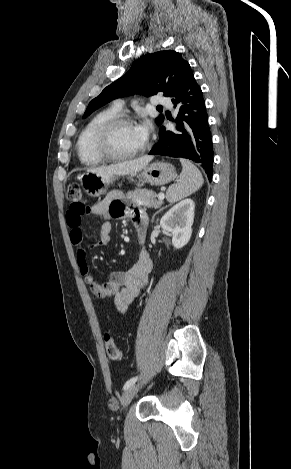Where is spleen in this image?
<instances>
[{
	"instance_id": "3e777b00",
	"label": "spleen",
	"mask_w": 291,
	"mask_h": 469,
	"mask_svg": "<svg viewBox=\"0 0 291 469\" xmlns=\"http://www.w3.org/2000/svg\"><path fill=\"white\" fill-rule=\"evenodd\" d=\"M182 172L178 183L171 185L166 198L170 203H175L196 192L204 183L203 176L199 169L190 161L181 159Z\"/></svg>"
}]
</instances>
